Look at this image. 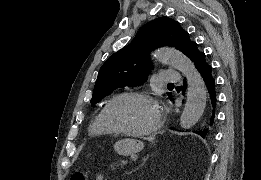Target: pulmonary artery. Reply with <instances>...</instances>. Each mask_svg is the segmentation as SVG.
I'll return each mask as SVG.
<instances>
[{
    "instance_id": "1",
    "label": "pulmonary artery",
    "mask_w": 261,
    "mask_h": 180,
    "mask_svg": "<svg viewBox=\"0 0 261 180\" xmlns=\"http://www.w3.org/2000/svg\"><path fill=\"white\" fill-rule=\"evenodd\" d=\"M161 77H183V72H161ZM162 83H186V78H162Z\"/></svg>"
}]
</instances>
